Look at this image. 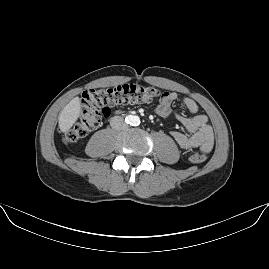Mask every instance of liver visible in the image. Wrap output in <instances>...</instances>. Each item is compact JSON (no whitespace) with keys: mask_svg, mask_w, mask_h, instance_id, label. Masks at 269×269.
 Instances as JSON below:
<instances>
[{"mask_svg":"<svg viewBox=\"0 0 269 269\" xmlns=\"http://www.w3.org/2000/svg\"><path fill=\"white\" fill-rule=\"evenodd\" d=\"M81 111V100L79 97L73 98L61 111L59 116V128L62 132H68L76 122Z\"/></svg>","mask_w":269,"mask_h":269,"instance_id":"1","label":"liver"}]
</instances>
